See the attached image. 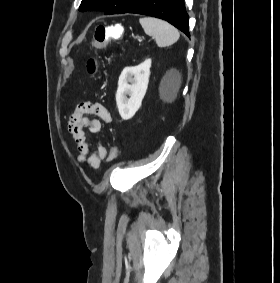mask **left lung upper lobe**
Instances as JSON below:
<instances>
[{
	"label": "left lung upper lobe",
	"mask_w": 280,
	"mask_h": 283,
	"mask_svg": "<svg viewBox=\"0 0 280 283\" xmlns=\"http://www.w3.org/2000/svg\"><path fill=\"white\" fill-rule=\"evenodd\" d=\"M142 0H82L80 11L100 10L106 14H122L139 4Z\"/></svg>",
	"instance_id": "obj_1"
}]
</instances>
